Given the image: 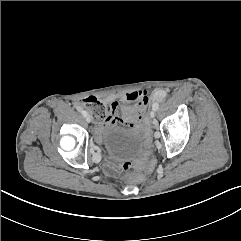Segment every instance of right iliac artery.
Instances as JSON below:
<instances>
[{
  "instance_id": "obj_1",
  "label": "right iliac artery",
  "mask_w": 241,
  "mask_h": 241,
  "mask_svg": "<svg viewBox=\"0 0 241 241\" xmlns=\"http://www.w3.org/2000/svg\"><path fill=\"white\" fill-rule=\"evenodd\" d=\"M81 113H82L83 116H85V117L87 116V112L86 111H81Z\"/></svg>"
}]
</instances>
